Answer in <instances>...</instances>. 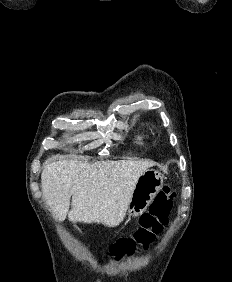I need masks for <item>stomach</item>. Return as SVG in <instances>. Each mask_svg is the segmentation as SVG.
Segmentation results:
<instances>
[{"label": "stomach", "instance_id": "1", "mask_svg": "<svg viewBox=\"0 0 232 282\" xmlns=\"http://www.w3.org/2000/svg\"><path fill=\"white\" fill-rule=\"evenodd\" d=\"M163 186V175L155 169H147L137 180L128 205V215L136 217L146 211Z\"/></svg>", "mask_w": 232, "mask_h": 282}]
</instances>
